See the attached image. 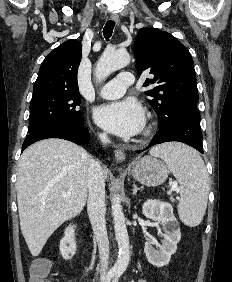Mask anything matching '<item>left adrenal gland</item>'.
I'll list each match as a JSON object with an SVG mask.
<instances>
[{
	"label": "left adrenal gland",
	"instance_id": "left-adrenal-gland-1",
	"mask_svg": "<svg viewBox=\"0 0 232 282\" xmlns=\"http://www.w3.org/2000/svg\"><path fill=\"white\" fill-rule=\"evenodd\" d=\"M142 189H143L142 187H141V188H138L137 185L134 184V185H133V192H132V194H133V195H136L137 192H138L139 190L142 191Z\"/></svg>",
	"mask_w": 232,
	"mask_h": 282
}]
</instances>
